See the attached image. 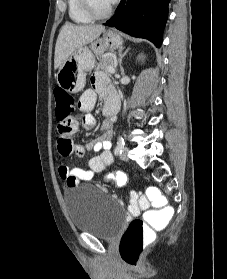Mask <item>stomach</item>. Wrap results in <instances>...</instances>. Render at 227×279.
<instances>
[{
	"mask_svg": "<svg viewBox=\"0 0 227 279\" xmlns=\"http://www.w3.org/2000/svg\"><path fill=\"white\" fill-rule=\"evenodd\" d=\"M123 39L115 31L106 30L101 38L78 48L58 69L56 80L66 92L77 93L86 84V73L95 65V56L122 46Z\"/></svg>",
	"mask_w": 227,
	"mask_h": 279,
	"instance_id": "obj_1",
	"label": "stomach"
}]
</instances>
